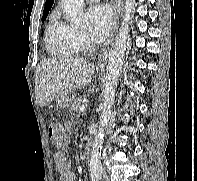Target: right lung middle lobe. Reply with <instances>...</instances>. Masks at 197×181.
<instances>
[{
	"mask_svg": "<svg viewBox=\"0 0 197 181\" xmlns=\"http://www.w3.org/2000/svg\"><path fill=\"white\" fill-rule=\"evenodd\" d=\"M47 14L43 15L42 17V22H44V20L46 19Z\"/></svg>",
	"mask_w": 197,
	"mask_h": 181,
	"instance_id": "1",
	"label": "right lung middle lobe"
}]
</instances>
